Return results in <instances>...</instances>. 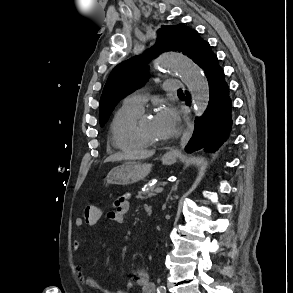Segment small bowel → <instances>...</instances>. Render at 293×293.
<instances>
[{
  "label": "small bowel",
  "mask_w": 293,
  "mask_h": 293,
  "mask_svg": "<svg viewBox=\"0 0 293 293\" xmlns=\"http://www.w3.org/2000/svg\"><path fill=\"white\" fill-rule=\"evenodd\" d=\"M129 208L130 195L125 194L115 201L113 209L107 214V218L115 223H123L125 220V216L129 211ZM75 224L76 226L80 227L83 225V221L78 218L76 219ZM80 247L81 242L78 240L74 241L73 250L78 251ZM76 272L78 277L85 285L91 287L99 293H130L133 289L134 284L140 288L141 293H155V286L151 282L148 272L142 269L133 272L132 277L134 280V284H129L125 289H117L113 291H110L98 285L91 277L85 274L82 266H78Z\"/></svg>",
  "instance_id": "1"
}]
</instances>
